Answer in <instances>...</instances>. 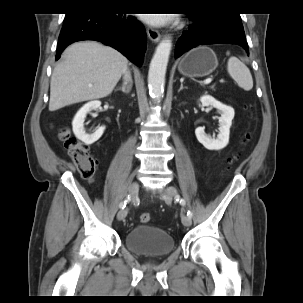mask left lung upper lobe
<instances>
[{
	"mask_svg": "<svg viewBox=\"0 0 303 303\" xmlns=\"http://www.w3.org/2000/svg\"><path fill=\"white\" fill-rule=\"evenodd\" d=\"M210 20L241 22L240 14L214 10L204 14Z\"/></svg>",
	"mask_w": 303,
	"mask_h": 303,
	"instance_id": "1",
	"label": "left lung upper lobe"
}]
</instances>
